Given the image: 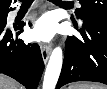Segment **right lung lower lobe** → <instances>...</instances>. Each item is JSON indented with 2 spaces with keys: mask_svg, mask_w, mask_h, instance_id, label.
<instances>
[{
  "mask_svg": "<svg viewBox=\"0 0 107 89\" xmlns=\"http://www.w3.org/2000/svg\"><path fill=\"white\" fill-rule=\"evenodd\" d=\"M9 9L4 11L5 18L0 19V73L8 75L23 84L27 89H36L44 63L37 44H25L17 39L23 31L22 26L6 28ZM16 34V39L13 35Z\"/></svg>",
  "mask_w": 107,
  "mask_h": 89,
  "instance_id": "1",
  "label": "right lung lower lobe"
}]
</instances>
